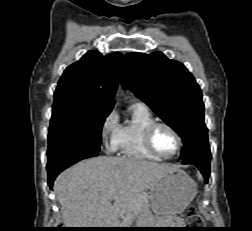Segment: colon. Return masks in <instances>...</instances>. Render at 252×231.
<instances>
[{"mask_svg":"<svg viewBox=\"0 0 252 231\" xmlns=\"http://www.w3.org/2000/svg\"><path fill=\"white\" fill-rule=\"evenodd\" d=\"M186 221L190 226L197 227L202 224L203 219L201 218L199 214H197L194 211V209H190V211L187 214Z\"/></svg>","mask_w":252,"mask_h":231,"instance_id":"colon-1","label":"colon"}]
</instances>
